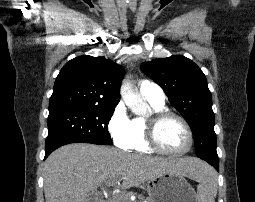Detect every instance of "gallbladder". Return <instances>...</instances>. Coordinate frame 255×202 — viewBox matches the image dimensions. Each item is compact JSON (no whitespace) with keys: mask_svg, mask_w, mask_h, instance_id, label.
Returning <instances> with one entry per match:
<instances>
[{"mask_svg":"<svg viewBox=\"0 0 255 202\" xmlns=\"http://www.w3.org/2000/svg\"><path fill=\"white\" fill-rule=\"evenodd\" d=\"M96 196L95 195H90L88 197V201L87 202H95Z\"/></svg>","mask_w":255,"mask_h":202,"instance_id":"obj_1","label":"gallbladder"}]
</instances>
